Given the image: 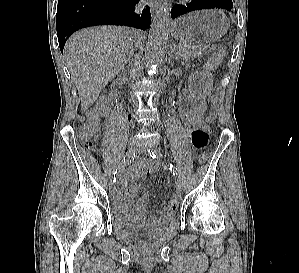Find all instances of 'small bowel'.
<instances>
[{
    "instance_id": "1",
    "label": "small bowel",
    "mask_w": 299,
    "mask_h": 273,
    "mask_svg": "<svg viewBox=\"0 0 299 273\" xmlns=\"http://www.w3.org/2000/svg\"><path fill=\"white\" fill-rule=\"evenodd\" d=\"M191 109L192 98L189 94H185L179 101L180 114L184 119L186 127L190 133L193 147L200 150L203 149L208 143V127L204 123L195 125L189 121ZM156 168L157 165L155 163L147 160H138L128 168L120 183V188L116 195L118 206L122 211L128 212L129 205L138 191V187L136 185H131L130 182L135 181L143 176H149L156 170ZM159 180L164 181L165 176H160ZM149 198V194H145L134 205L131 214L137 219L143 215ZM176 208L177 207L170 205V203L164 206L161 212V219L165 220L170 218L175 213Z\"/></svg>"
}]
</instances>
